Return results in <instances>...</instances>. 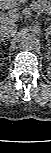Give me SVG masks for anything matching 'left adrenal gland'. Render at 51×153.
Listing matches in <instances>:
<instances>
[{"label":"left adrenal gland","mask_w":51,"mask_h":153,"mask_svg":"<svg viewBox=\"0 0 51 153\" xmlns=\"http://www.w3.org/2000/svg\"><path fill=\"white\" fill-rule=\"evenodd\" d=\"M46 40L48 42V45L50 46V39H49V35L48 34H46Z\"/></svg>","instance_id":"1"}]
</instances>
